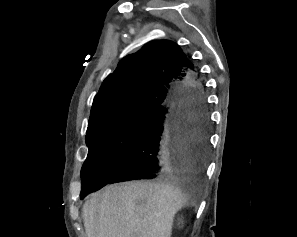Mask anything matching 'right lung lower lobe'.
Here are the masks:
<instances>
[{
  "label": "right lung lower lobe",
  "mask_w": 297,
  "mask_h": 237,
  "mask_svg": "<svg viewBox=\"0 0 297 237\" xmlns=\"http://www.w3.org/2000/svg\"><path fill=\"white\" fill-rule=\"evenodd\" d=\"M208 134L204 90L194 71L189 82L172 90L167 104L150 114L143 130L108 174L103 186L201 173L207 165Z\"/></svg>",
  "instance_id": "98d812e1"
}]
</instances>
